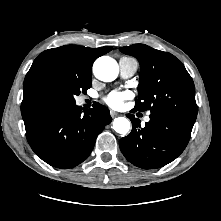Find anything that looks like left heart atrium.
<instances>
[{"label": "left heart atrium", "instance_id": "obj_1", "mask_svg": "<svg viewBox=\"0 0 221 221\" xmlns=\"http://www.w3.org/2000/svg\"><path fill=\"white\" fill-rule=\"evenodd\" d=\"M131 97V94L126 91L111 92L106 98L105 102L114 109H120L124 102Z\"/></svg>", "mask_w": 221, "mask_h": 221}]
</instances>
